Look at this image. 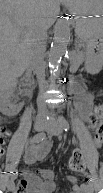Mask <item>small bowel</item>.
<instances>
[{
    "label": "small bowel",
    "mask_w": 103,
    "mask_h": 193,
    "mask_svg": "<svg viewBox=\"0 0 103 193\" xmlns=\"http://www.w3.org/2000/svg\"><path fill=\"white\" fill-rule=\"evenodd\" d=\"M77 104L82 114L85 117H90L94 111V96L90 93H81L77 98ZM9 132H6V138L9 136ZM5 138V139H6ZM5 143V140H4ZM51 148L50 142L45 140L38 145L29 147L24 152V161L26 164H34L38 160L43 159L49 153ZM1 154L4 153L0 152ZM23 178L18 182V186L14 188L12 185L8 191L16 193H55L57 191V180L60 178V174L50 169H22ZM10 183L13 182L11 175ZM66 188L69 193H89V186L86 183L79 184L77 178L74 176H65Z\"/></svg>",
    "instance_id": "1"
}]
</instances>
